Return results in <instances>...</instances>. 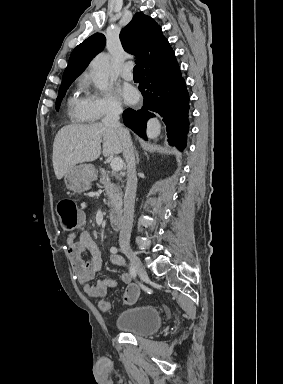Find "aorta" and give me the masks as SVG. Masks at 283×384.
<instances>
[{
  "label": "aorta",
  "mask_w": 283,
  "mask_h": 384,
  "mask_svg": "<svg viewBox=\"0 0 283 384\" xmlns=\"http://www.w3.org/2000/svg\"><path fill=\"white\" fill-rule=\"evenodd\" d=\"M92 80L99 90H104L109 82V55L98 54L91 62ZM161 125L156 119H150L147 124V136L150 139L156 138L160 134Z\"/></svg>",
  "instance_id": "762f6f07"
}]
</instances>
